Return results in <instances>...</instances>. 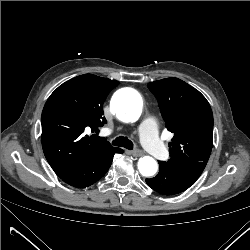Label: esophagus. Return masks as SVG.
<instances>
[{"mask_svg":"<svg viewBox=\"0 0 250 250\" xmlns=\"http://www.w3.org/2000/svg\"><path fill=\"white\" fill-rule=\"evenodd\" d=\"M131 154L134 156V157H140L143 155L142 151L141 150H134V151H131Z\"/></svg>","mask_w":250,"mask_h":250,"instance_id":"esophagus-1","label":"esophagus"}]
</instances>
